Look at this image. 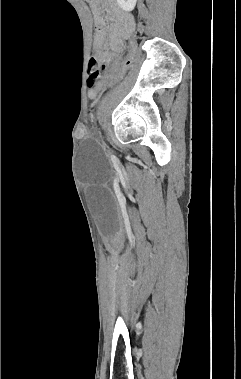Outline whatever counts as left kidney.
I'll list each match as a JSON object with an SVG mask.
<instances>
[{
  "label": "left kidney",
  "mask_w": 241,
  "mask_h": 379,
  "mask_svg": "<svg viewBox=\"0 0 241 379\" xmlns=\"http://www.w3.org/2000/svg\"><path fill=\"white\" fill-rule=\"evenodd\" d=\"M137 0H117L118 5L125 11H132Z\"/></svg>",
  "instance_id": "obj_1"
}]
</instances>
